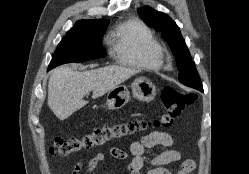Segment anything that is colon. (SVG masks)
<instances>
[{"instance_id":"colon-1","label":"colon","mask_w":249,"mask_h":174,"mask_svg":"<svg viewBox=\"0 0 249 174\" xmlns=\"http://www.w3.org/2000/svg\"><path fill=\"white\" fill-rule=\"evenodd\" d=\"M195 99L194 93H185L174 87H166L161 92V101L165 109L161 118L153 121H122L104 124L81 136L67 139L55 138L50 146V153L54 156H69L126 139L150 127H169L194 103Z\"/></svg>"}]
</instances>
